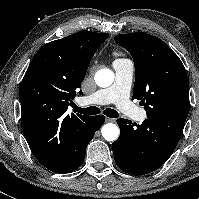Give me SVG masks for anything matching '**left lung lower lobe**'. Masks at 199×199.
<instances>
[{
	"label": "left lung lower lobe",
	"instance_id": "left-lung-lower-lobe-1",
	"mask_svg": "<svg viewBox=\"0 0 199 199\" xmlns=\"http://www.w3.org/2000/svg\"><path fill=\"white\" fill-rule=\"evenodd\" d=\"M119 138L112 150L118 167L129 174L143 175L161 167L173 153L182 131L146 119L141 125L119 118Z\"/></svg>",
	"mask_w": 199,
	"mask_h": 199
}]
</instances>
